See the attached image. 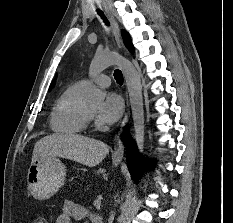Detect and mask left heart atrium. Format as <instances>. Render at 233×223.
Returning <instances> with one entry per match:
<instances>
[{"instance_id":"1","label":"left heart atrium","mask_w":233,"mask_h":223,"mask_svg":"<svg viewBox=\"0 0 233 223\" xmlns=\"http://www.w3.org/2000/svg\"><path fill=\"white\" fill-rule=\"evenodd\" d=\"M123 110L124 105L122 99L118 95L111 93L100 106L97 115L102 122L113 124L120 119Z\"/></svg>"}]
</instances>
